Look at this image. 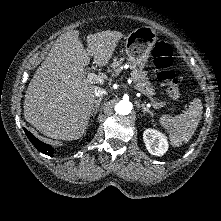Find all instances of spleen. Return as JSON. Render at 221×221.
Here are the masks:
<instances>
[{"mask_svg": "<svg viewBox=\"0 0 221 221\" xmlns=\"http://www.w3.org/2000/svg\"><path fill=\"white\" fill-rule=\"evenodd\" d=\"M202 109L201 100L195 98L184 113L176 117L169 115L160 117L159 123L169 133L172 146L178 147L192 138L201 120Z\"/></svg>", "mask_w": 221, "mask_h": 221, "instance_id": "spleen-1", "label": "spleen"}]
</instances>
